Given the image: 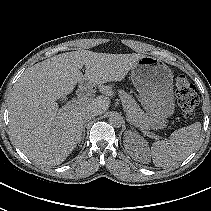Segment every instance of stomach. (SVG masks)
Segmentation results:
<instances>
[{"label":"stomach","mask_w":211,"mask_h":211,"mask_svg":"<svg viewBox=\"0 0 211 211\" xmlns=\"http://www.w3.org/2000/svg\"><path fill=\"white\" fill-rule=\"evenodd\" d=\"M130 78L146 113L143 127L161 130L175 112L173 73L156 57L144 55L133 66Z\"/></svg>","instance_id":"obj_1"}]
</instances>
